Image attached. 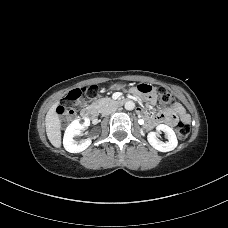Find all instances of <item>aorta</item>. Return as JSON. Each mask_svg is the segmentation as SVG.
I'll use <instances>...</instances> for the list:
<instances>
[{"instance_id": "1", "label": "aorta", "mask_w": 228, "mask_h": 228, "mask_svg": "<svg viewBox=\"0 0 228 228\" xmlns=\"http://www.w3.org/2000/svg\"><path fill=\"white\" fill-rule=\"evenodd\" d=\"M124 107L126 110H133L135 108V103L133 101H127Z\"/></svg>"}]
</instances>
